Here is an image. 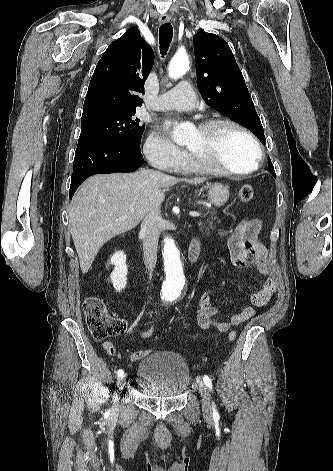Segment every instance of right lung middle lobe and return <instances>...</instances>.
<instances>
[{
  "label": "right lung middle lobe",
  "instance_id": "1",
  "mask_svg": "<svg viewBox=\"0 0 333 471\" xmlns=\"http://www.w3.org/2000/svg\"><path fill=\"white\" fill-rule=\"evenodd\" d=\"M135 109L109 111L81 119L78 142L107 140L140 150L145 126L135 118Z\"/></svg>",
  "mask_w": 333,
  "mask_h": 471
}]
</instances>
